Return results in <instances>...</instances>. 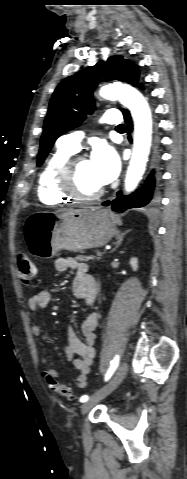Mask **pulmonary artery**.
Here are the masks:
<instances>
[{
    "label": "pulmonary artery",
    "mask_w": 187,
    "mask_h": 479,
    "mask_svg": "<svg viewBox=\"0 0 187 479\" xmlns=\"http://www.w3.org/2000/svg\"><path fill=\"white\" fill-rule=\"evenodd\" d=\"M100 122L102 124L119 125L121 122V114L116 109H110L100 118ZM83 136L84 132L82 131L65 134L58 139V144L76 152L80 147Z\"/></svg>",
    "instance_id": "pulmonary-artery-1"
}]
</instances>
